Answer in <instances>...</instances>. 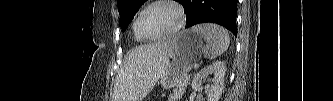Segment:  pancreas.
Instances as JSON below:
<instances>
[{"label":"pancreas","instance_id":"1","mask_svg":"<svg viewBox=\"0 0 333 101\" xmlns=\"http://www.w3.org/2000/svg\"><path fill=\"white\" fill-rule=\"evenodd\" d=\"M188 81H189V75H185L184 77L181 78L178 85L173 89V93L169 95V101H179L181 99L186 90Z\"/></svg>","mask_w":333,"mask_h":101}]
</instances>
